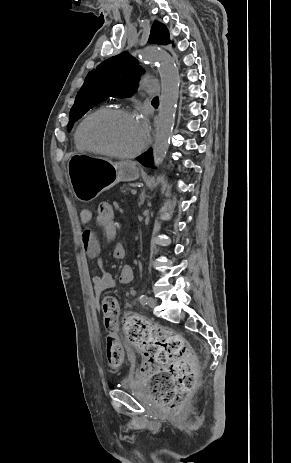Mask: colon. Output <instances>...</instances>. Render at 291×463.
Segmentation results:
<instances>
[{
    "label": "colon",
    "mask_w": 291,
    "mask_h": 463,
    "mask_svg": "<svg viewBox=\"0 0 291 463\" xmlns=\"http://www.w3.org/2000/svg\"><path fill=\"white\" fill-rule=\"evenodd\" d=\"M116 216V208L112 207V203L97 201L100 226H113ZM102 316L110 332L106 341L107 361L111 367L116 368L123 363L124 352L116 333L120 309L113 298L103 299ZM125 332L145 357L141 373L147 379L150 394L165 411L177 415L182 402L194 388L196 379L189 345L179 332L137 317L125 319Z\"/></svg>",
    "instance_id": "5ec220e1"
}]
</instances>
